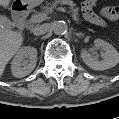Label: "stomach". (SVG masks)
Segmentation results:
<instances>
[{
    "label": "stomach",
    "instance_id": "stomach-1",
    "mask_svg": "<svg viewBox=\"0 0 119 119\" xmlns=\"http://www.w3.org/2000/svg\"><path fill=\"white\" fill-rule=\"evenodd\" d=\"M44 0H21V2L29 7L36 6L43 2Z\"/></svg>",
    "mask_w": 119,
    "mask_h": 119
}]
</instances>
